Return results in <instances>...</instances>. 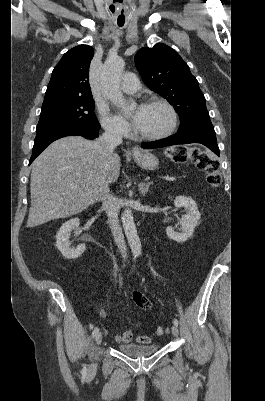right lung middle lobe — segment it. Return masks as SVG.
I'll return each instance as SVG.
<instances>
[{
	"label": "right lung middle lobe",
	"instance_id": "right-lung-middle-lobe-1",
	"mask_svg": "<svg viewBox=\"0 0 265 401\" xmlns=\"http://www.w3.org/2000/svg\"><path fill=\"white\" fill-rule=\"evenodd\" d=\"M92 97L58 100L42 105L36 132L53 126H80L100 129Z\"/></svg>",
	"mask_w": 265,
	"mask_h": 401
}]
</instances>
